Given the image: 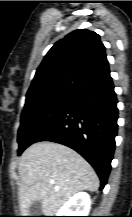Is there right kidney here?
I'll return each mask as SVG.
<instances>
[{
	"mask_svg": "<svg viewBox=\"0 0 132 217\" xmlns=\"http://www.w3.org/2000/svg\"><path fill=\"white\" fill-rule=\"evenodd\" d=\"M90 206V196L86 192H79L64 204L56 216H88Z\"/></svg>",
	"mask_w": 132,
	"mask_h": 217,
	"instance_id": "obj_1",
	"label": "right kidney"
}]
</instances>
